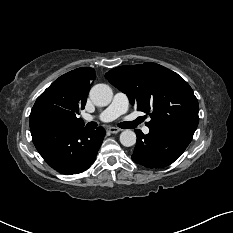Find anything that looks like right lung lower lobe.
Instances as JSON below:
<instances>
[{
    "mask_svg": "<svg viewBox=\"0 0 233 233\" xmlns=\"http://www.w3.org/2000/svg\"><path fill=\"white\" fill-rule=\"evenodd\" d=\"M31 135L47 164L61 174L71 175L83 172L95 161L105 130L37 127L31 130Z\"/></svg>",
    "mask_w": 233,
    "mask_h": 233,
    "instance_id": "1",
    "label": "right lung lower lobe"
}]
</instances>
